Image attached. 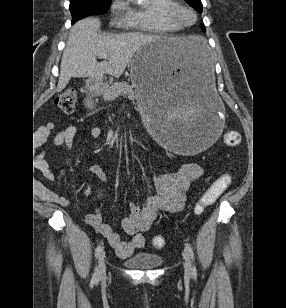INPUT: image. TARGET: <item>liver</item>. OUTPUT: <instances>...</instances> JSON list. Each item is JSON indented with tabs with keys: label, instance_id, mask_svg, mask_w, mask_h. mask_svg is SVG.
Listing matches in <instances>:
<instances>
[{
	"label": "liver",
	"instance_id": "6515ba94",
	"mask_svg": "<svg viewBox=\"0 0 286 308\" xmlns=\"http://www.w3.org/2000/svg\"><path fill=\"white\" fill-rule=\"evenodd\" d=\"M101 22L85 18L76 22L70 30L62 55L57 92L62 91L72 77H88L102 81L104 74L119 78L131 62L135 52L142 46L162 36L144 33L101 35ZM174 53L188 61L204 56L205 41L200 36L166 37ZM102 53L108 55L103 62L97 61Z\"/></svg>",
	"mask_w": 286,
	"mask_h": 308
}]
</instances>
